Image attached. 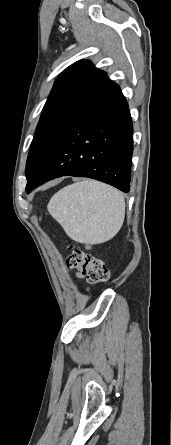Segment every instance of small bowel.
I'll use <instances>...</instances> for the list:
<instances>
[{
    "label": "small bowel",
    "mask_w": 171,
    "mask_h": 445,
    "mask_svg": "<svg viewBox=\"0 0 171 445\" xmlns=\"http://www.w3.org/2000/svg\"><path fill=\"white\" fill-rule=\"evenodd\" d=\"M82 275L81 274H78V277H81Z\"/></svg>",
    "instance_id": "c3829d8e"
}]
</instances>
